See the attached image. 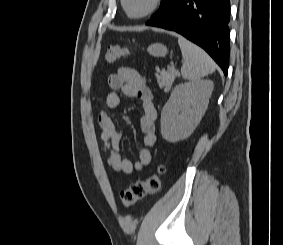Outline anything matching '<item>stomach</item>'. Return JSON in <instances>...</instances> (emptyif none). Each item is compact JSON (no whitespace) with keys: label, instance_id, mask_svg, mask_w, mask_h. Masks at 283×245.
<instances>
[{"label":"stomach","instance_id":"1","mask_svg":"<svg viewBox=\"0 0 283 245\" xmlns=\"http://www.w3.org/2000/svg\"><path fill=\"white\" fill-rule=\"evenodd\" d=\"M148 53L154 57H165L168 53L166 46L161 43L151 44L148 49Z\"/></svg>","mask_w":283,"mask_h":245}]
</instances>
